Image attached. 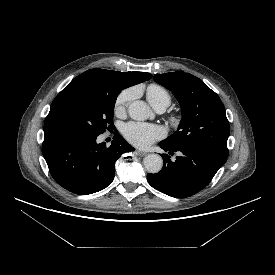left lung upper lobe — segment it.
<instances>
[{"mask_svg": "<svg viewBox=\"0 0 275 275\" xmlns=\"http://www.w3.org/2000/svg\"><path fill=\"white\" fill-rule=\"evenodd\" d=\"M154 80L174 94L182 109L178 130L163 142L228 157L230 127L219 96L199 78L182 71L155 74Z\"/></svg>", "mask_w": 275, "mask_h": 275, "instance_id": "5c2ea615", "label": "left lung upper lobe"}]
</instances>
